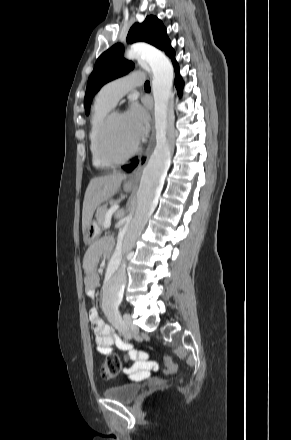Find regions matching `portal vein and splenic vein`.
<instances>
[{"label":"portal vein and splenic vein","instance_id":"1","mask_svg":"<svg viewBox=\"0 0 291 440\" xmlns=\"http://www.w3.org/2000/svg\"><path fill=\"white\" fill-rule=\"evenodd\" d=\"M119 209L118 205H115L111 208L110 212L106 215L105 221H104V227L109 228L111 225V218L114 212H116Z\"/></svg>","mask_w":291,"mask_h":440}]
</instances>
